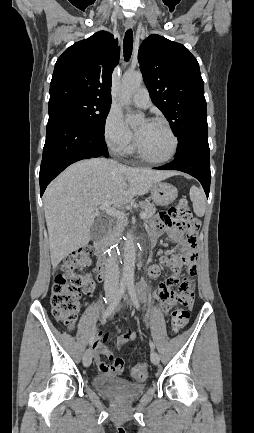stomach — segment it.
I'll return each instance as SVG.
<instances>
[{"label":"stomach","mask_w":254,"mask_h":433,"mask_svg":"<svg viewBox=\"0 0 254 433\" xmlns=\"http://www.w3.org/2000/svg\"><path fill=\"white\" fill-rule=\"evenodd\" d=\"M150 191L153 201L160 206L169 205L178 195L177 188L165 182L155 183Z\"/></svg>","instance_id":"1"}]
</instances>
